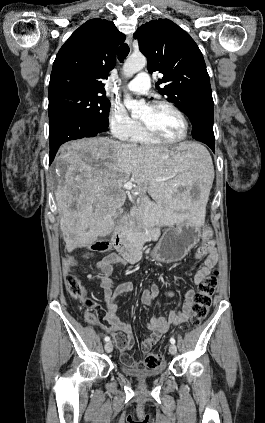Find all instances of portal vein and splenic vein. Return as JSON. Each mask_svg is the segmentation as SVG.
Returning <instances> with one entry per match:
<instances>
[{"instance_id":"18ae733b","label":"portal vein and splenic vein","mask_w":265,"mask_h":423,"mask_svg":"<svg viewBox=\"0 0 265 423\" xmlns=\"http://www.w3.org/2000/svg\"><path fill=\"white\" fill-rule=\"evenodd\" d=\"M134 186H135V184H134V183H132V182H127V183H125V184H124V189H125L126 191H129V190H131Z\"/></svg>"}]
</instances>
